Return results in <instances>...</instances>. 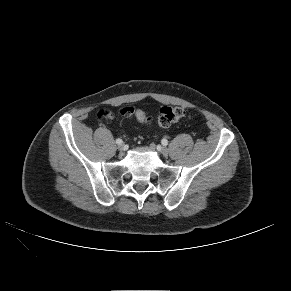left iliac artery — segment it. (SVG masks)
Instances as JSON below:
<instances>
[{"label": "left iliac artery", "mask_w": 291, "mask_h": 291, "mask_svg": "<svg viewBox=\"0 0 291 291\" xmlns=\"http://www.w3.org/2000/svg\"><path fill=\"white\" fill-rule=\"evenodd\" d=\"M162 144L164 145V146H166V145H168V141L166 140V139H162Z\"/></svg>", "instance_id": "44dca946"}]
</instances>
